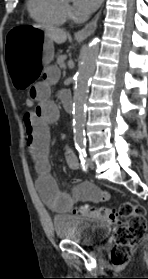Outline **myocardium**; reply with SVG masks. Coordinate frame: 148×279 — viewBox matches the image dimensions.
I'll return each instance as SVG.
<instances>
[{"label": "myocardium", "instance_id": "obj_1", "mask_svg": "<svg viewBox=\"0 0 148 279\" xmlns=\"http://www.w3.org/2000/svg\"><path fill=\"white\" fill-rule=\"evenodd\" d=\"M61 2H62L64 7L68 6V4L64 0H61Z\"/></svg>", "mask_w": 148, "mask_h": 279}]
</instances>
